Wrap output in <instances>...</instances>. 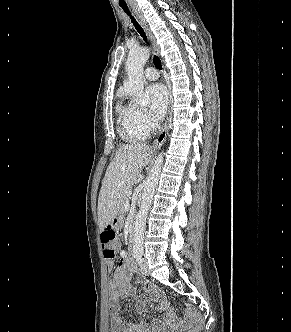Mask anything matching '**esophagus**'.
<instances>
[{"label":"esophagus","instance_id":"34e87169","mask_svg":"<svg viewBox=\"0 0 291 332\" xmlns=\"http://www.w3.org/2000/svg\"><path fill=\"white\" fill-rule=\"evenodd\" d=\"M132 7L142 25V27L144 28L145 32L147 33V35L150 39L154 52L156 53V55L160 56V47L157 44V41H156V38H155L153 32L151 31L150 27L148 26V24H147L145 18L143 17V15L141 14V12L139 10H137V8H135L133 5H132ZM167 86H168V93H169L168 113H167V117H166L163 129L160 132V134L158 135V137L155 139V141L153 143V147L162 146V144L164 143V141L166 139L167 132H168L169 121H170L171 114H172V97H171V87H170L169 82H167Z\"/></svg>","mask_w":291,"mask_h":332}]
</instances>
